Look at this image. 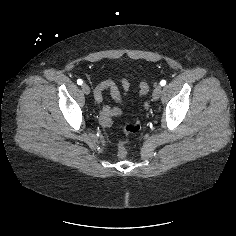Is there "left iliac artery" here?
Segmentation results:
<instances>
[{
    "label": "left iliac artery",
    "mask_w": 236,
    "mask_h": 236,
    "mask_svg": "<svg viewBox=\"0 0 236 236\" xmlns=\"http://www.w3.org/2000/svg\"><path fill=\"white\" fill-rule=\"evenodd\" d=\"M160 85H161V86H165V85H166V81H165V80H161V81H160Z\"/></svg>",
    "instance_id": "obj_1"
}]
</instances>
